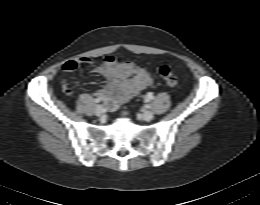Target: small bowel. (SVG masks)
<instances>
[{"label":"small bowel","instance_id":"small-bowel-1","mask_svg":"<svg viewBox=\"0 0 260 205\" xmlns=\"http://www.w3.org/2000/svg\"><path fill=\"white\" fill-rule=\"evenodd\" d=\"M80 65H89L93 72L105 76L107 84L95 95L100 98L108 110H115L132 99L147 87L154 84V76L144 66L133 61H118L108 56L97 64L93 59L83 57L67 61L63 67L62 90L72 94L68 75Z\"/></svg>","mask_w":260,"mask_h":205}]
</instances>
